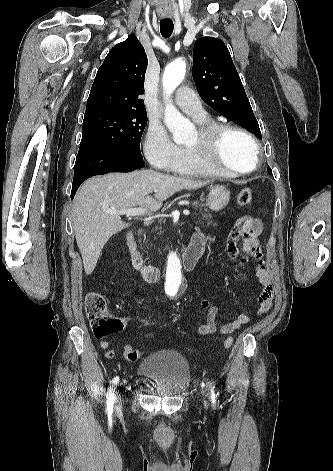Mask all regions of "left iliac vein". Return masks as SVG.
Returning <instances> with one entry per match:
<instances>
[{"label": "left iliac vein", "instance_id": "1", "mask_svg": "<svg viewBox=\"0 0 333 471\" xmlns=\"http://www.w3.org/2000/svg\"><path fill=\"white\" fill-rule=\"evenodd\" d=\"M204 406H205V408H207V401L206 400L204 401Z\"/></svg>", "mask_w": 333, "mask_h": 471}]
</instances>
